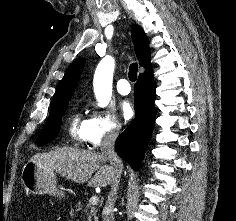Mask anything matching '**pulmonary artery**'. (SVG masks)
I'll use <instances>...</instances> for the list:
<instances>
[{
    "instance_id": "1",
    "label": "pulmonary artery",
    "mask_w": 236,
    "mask_h": 221,
    "mask_svg": "<svg viewBox=\"0 0 236 221\" xmlns=\"http://www.w3.org/2000/svg\"><path fill=\"white\" fill-rule=\"evenodd\" d=\"M116 89L118 93L121 95H128L131 91V88L127 79H120L117 82Z\"/></svg>"
}]
</instances>
